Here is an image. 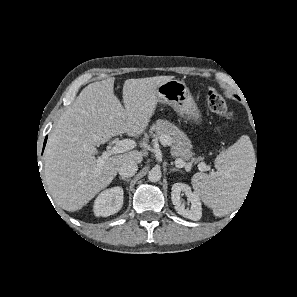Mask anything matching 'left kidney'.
Masks as SVG:
<instances>
[{
    "label": "left kidney",
    "instance_id": "1",
    "mask_svg": "<svg viewBox=\"0 0 297 297\" xmlns=\"http://www.w3.org/2000/svg\"><path fill=\"white\" fill-rule=\"evenodd\" d=\"M185 194L191 207L185 208L182 204L181 195ZM171 200L178 214L188 219L197 221L202 216V207L200 197L196 192H193L189 185L184 183H175L172 186Z\"/></svg>",
    "mask_w": 297,
    "mask_h": 297
}]
</instances>
